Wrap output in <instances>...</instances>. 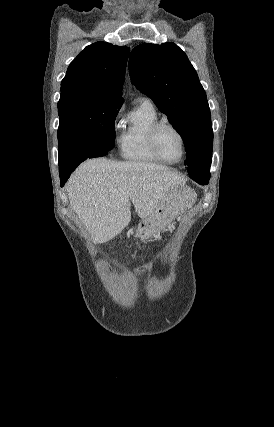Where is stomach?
I'll list each match as a JSON object with an SVG mask.
<instances>
[{
	"label": "stomach",
	"mask_w": 274,
	"mask_h": 427,
	"mask_svg": "<svg viewBox=\"0 0 274 427\" xmlns=\"http://www.w3.org/2000/svg\"><path fill=\"white\" fill-rule=\"evenodd\" d=\"M184 192L185 196H189V198H184L182 204H186L190 200V196L192 202H194V192H191L189 188H184ZM181 208L182 206H179L178 202H162V204L157 206L153 214L139 221L136 229V237H140L141 241H145V243L146 241H153V237H157L162 229H166L168 225L173 223V219L179 214Z\"/></svg>",
	"instance_id": "1"
}]
</instances>
